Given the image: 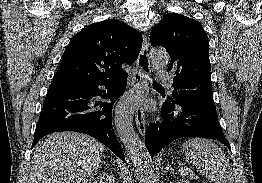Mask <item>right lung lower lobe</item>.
Returning a JSON list of instances; mask_svg holds the SVG:
<instances>
[{"instance_id": "98d812e1", "label": "right lung lower lobe", "mask_w": 262, "mask_h": 183, "mask_svg": "<svg viewBox=\"0 0 262 183\" xmlns=\"http://www.w3.org/2000/svg\"><path fill=\"white\" fill-rule=\"evenodd\" d=\"M127 77L125 73L113 79L50 86L31 148L52 132L76 131L98 139L121 160H125L114 134L111 112L114 102L125 91ZM97 96L109 99L110 102L97 101Z\"/></svg>"}]
</instances>
